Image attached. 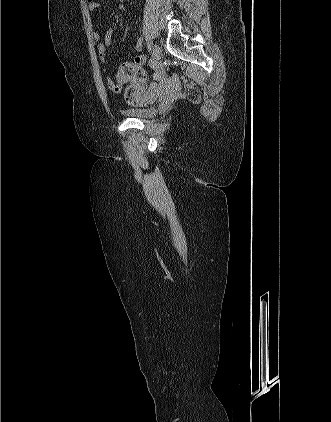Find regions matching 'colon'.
<instances>
[{"mask_svg":"<svg viewBox=\"0 0 331 422\" xmlns=\"http://www.w3.org/2000/svg\"><path fill=\"white\" fill-rule=\"evenodd\" d=\"M144 77L145 71L140 66L135 65L133 62H127L120 65L114 81L126 82L129 80H140ZM125 97L128 101L137 100V90L132 86L128 87L125 92Z\"/></svg>","mask_w":331,"mask_h":422,"instance_id":"5ec220e1","label":"colon"}]
</instances>
